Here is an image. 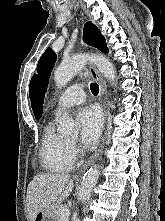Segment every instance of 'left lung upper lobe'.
Instances as JSON below:
<instances>
[{
	"label": "left lung upper lobe",
	"mask_w": 165,
	"mask_h": 221,
	"mask_svg": "<svg viewBox=\"0 0 165 221\" xmlns=\"http://www.w3.org/2000/svg\"><path fill=\"white\" fill-rule=\"evenodd\" d=\"M83 38L87 44L98 48L104 53H108L104 37L100 30L90 21L84 25ZM55 61V53L51 48H48L41 56L37 65V74H34L30 82L29 97L36 119H39L43 112L44 95Z\"/></svg>",
	"instance_id": "1"
}]
</instances>
